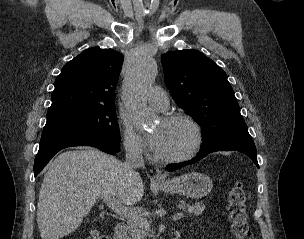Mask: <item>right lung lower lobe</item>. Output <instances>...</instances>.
<instances>
[{"mask_svg":"<svg viewBox=\"0 0 304 239\" xmlns=\"http://www.w3.org/2000/svg\"><path fill=\"white\" fill-rule=\"evenodd\" d=\"M72 146H93L109 154H115L119 150V143L101 137L87 135L43 137L35 158L34 175L37 176L58 151Z\"/></svg>","mask_w":304,"mask_h":239,"instance_id":"obj_1","label":"right lung lower lobe"}]
</instances>
